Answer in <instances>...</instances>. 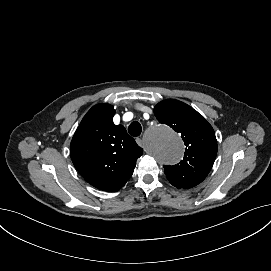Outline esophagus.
I'll use <instances>...</instances> for the list:
<instances>
[{"instance_id":"obj_1","label":"esophagus","mask_w":271,"mask_h":271,"mask_svg":"<svg viewBox=\"0 0 271 271\" xmlns=\"http://www.w3.org/2000/svg\"><path fill=\"white\" fill-rule=\"evenodd\" d=\"M145 141V136L143 134H138L136 136V142L139 146H142V143Z\"/></svg>"}]
</instances>
